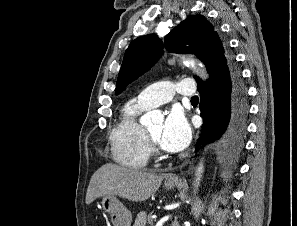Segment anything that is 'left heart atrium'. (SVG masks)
I'll use <instances>...</instances> for the list:
<instances>
[{"instance_id": "39dd6f15", "label": "left heart atrium", "mask_w": 297, "mask_h": 226, "mask_svg": "<svg viewBox=\"0 0 297 226\" xmlns=\"http://www.w3.org/2000/svg\"><path fill=\"white\" fill-rule=\"evenodd\" d=\"M191 132L189 125L179 111H172L165 120L159 138L161 148L167 152H179L190 141Z\"/></svg>"}]
</instances>
